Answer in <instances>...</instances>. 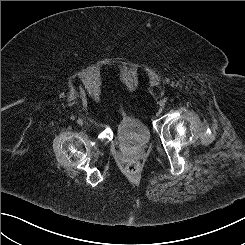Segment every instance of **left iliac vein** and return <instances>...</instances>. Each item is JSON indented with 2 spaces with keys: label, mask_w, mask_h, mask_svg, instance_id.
Returning a JSON list of instances; mask_svg holds the SVG:
<instances>
[{
  "label": "left iliac vein",
  "mask_w": 245,
  "mask_h": 245,
  "mask_svg": "<svg viewBox=\"0 0 245 245\" xmlns=\"http://www.w3.org/2000/svg\"><path fill=\"white\" fill-rule=\"evenodd\" d=\"M164 105H165V103H164L163 101H160V102H159V106H160V107H164Z\"/></svg>",
  "instance_id": "4c4485c4"
}]
</instances>
